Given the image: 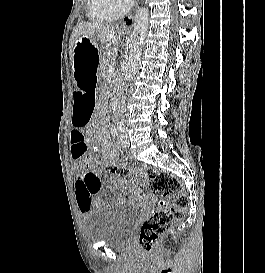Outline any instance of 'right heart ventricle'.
Instances as JSON below:
<instances>
[{
	"label": "right heart ventricle",
	"instance_id": "obj_1",
	"mask_svg": "<svg viewBox=\"0 0 265 273\" xmlns=\"http://www.w3.org/2000/svg\"><path fill=\"white\" fill-rule=\"evenodd\" d=\"M87 13L93 21H108L115 19L119 12L113 9L108 0H89Z\"/></svg>",
	"mask_w": 265,
	"mask_h": 273
}]
</instances>
